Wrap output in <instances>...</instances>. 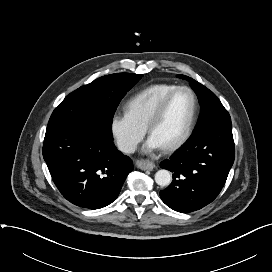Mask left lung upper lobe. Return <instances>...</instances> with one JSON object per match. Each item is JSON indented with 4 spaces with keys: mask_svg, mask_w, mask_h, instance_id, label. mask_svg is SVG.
<instances>
[{
    "mask_svg": "<svg viewBox=\"0 0 272 272\" xmlns=\"http://www.w3.org/2000/svg\"><path fill=\"white\" fill-rule=\"evenodd\" d=\"M177 77L188 80L199 99L201 110L194 131L216 123L231 121L229 113L212 91L188 76L177 75Z\"/></svg>",
    "mask_w": 272,
    "mask_h": 272,
    "instance_id": "obj_1",
    "label": "left lung upper lobe"
}]
</instances>
